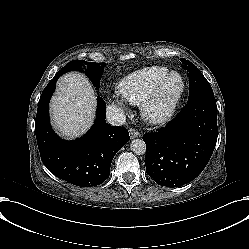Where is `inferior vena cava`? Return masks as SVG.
<instances>
[{
    "mask_svg": "<svg viewBox=\"0 0 249 249\" xmlns=\"http://www.w3.org/2000/svg\"><path fill=\"white\" fill-rule=\"evenodd\" d=\"M106 121L113 126H122L126 122V116L122 108L115 104L107 106Z\"/></svg>",
    "mask_w": 249,
    "mask_h": 249,
    "instance_id": "1",
    "label": "inferior vena cava"
}]
</instances>
